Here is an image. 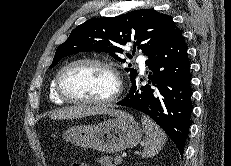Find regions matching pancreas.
Instances as JSON below:
<instances>
[{
	"instance_id": "1",
	"label": "pancreas",
	"mask_w": 231,
	"mask_h": 166,
	"mask_svg": "<svg viewBox=\"0 0 231 166\" xmlns=\"http://www.w3.org/2000/svg\"><path fill=\"white\" fill-rule=\"evenodd\" d=\"M99 162L101 163V166H117L122 162V159L116 157L114 160H112L111 157H101Z\"/></svg>"
}]
</instances>
